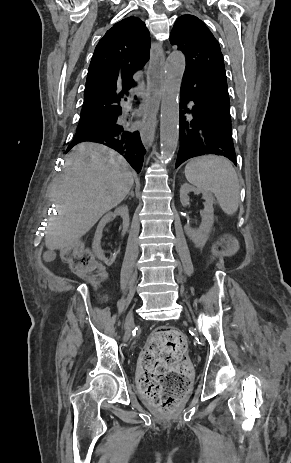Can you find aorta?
Listing matches in <instances>:
<instances>
[{
  "label": "aorta",
  "mask_w": 291,
  "mask_h": 463,
  "mask_svg": "<svg viewBox=\"0 0 291 463\" xmlns=\"http://www.w3.org/2000/svg\"><path fill=\"white\" fill-rule=\"evenodd\" d=\"M186 62L182 53H172L165 66V85L161 101L160 143L161 157L170 161L177 149L179 139V101Z\"/></svg>",
  "instance_id": "762f6f07"
}]
</instances>
